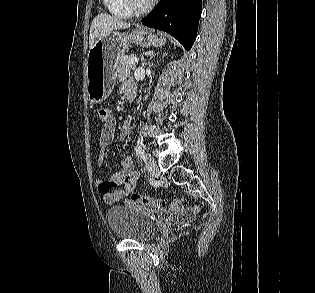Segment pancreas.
<instances>
[{"mask_svg":"<svg viewBox=\"0 0 315 293\" xmlns=\"http://www.w3.org/2000/svg\"><path fill=\"white\" fill-rule=\"evenodd\" d=\"M130 56H121L118 61L117 77L120 82H123L126 78L130 77L131 70H135L134 64H129L128 60Z\"/></svg>","mask_w":315,"mask_h":293,"instance_id":"obj_1","label":"pancreas"}]
</instances>
